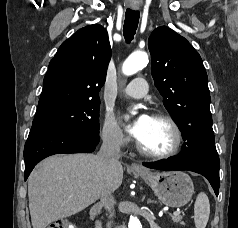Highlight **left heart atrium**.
<instances>
[{
    "label": "left heart atrium",
    "instance_id": "39dd6f15",
    "mask_svg": "<svg viewBox=\"0 0 238 228\" xmlns=\"http://www.w3.org/2000/svg\"><path fill=\"white\" fill-rule=\"evenodd\" d=\"M150 118L146 114L138 116L133 123L127 126L128 132L138 140L143 135Z\"/></svg>",
    "mask_w": 238,
    "mask_h": 228
}]
</instances>
